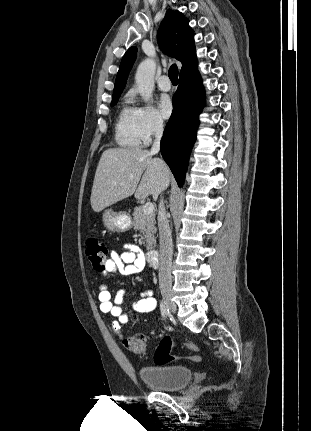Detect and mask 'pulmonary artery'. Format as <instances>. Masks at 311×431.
<instances>
[{
	"label": "pulmonary artery",
	"mask_w": 311,
	"mask_h": 431,
	"mask_svg": "<svg viewBox=\"0 0 311 431\" xmlns=\"http://www.w3.org/2000/svg\"><path fill=\"white\" fill-rule=\"evenodd\" d=\"M158 86L160 90L168 92L172 88L171 81L167 75H162L158 79Z\"/></svg>",
	"instance_id": "1"
}]
</instances>
